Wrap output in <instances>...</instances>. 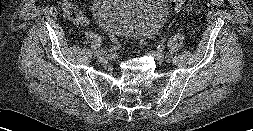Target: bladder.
Wrapping results in <instances>:
<instances>
[{
    "label": "bladder",
    "instance_id": "obj_1",
    "mask_svg": "<svg viewBox=\"0 0 253 131\" xmlns=\"http://www.w3.org/2000/svg\"><path fill=\"white\" fill-rule=\"evenodd\" d=\"M92 12L99 25L127 39L159 31L168 8L163 0H94Z\"/></svg>",
    "mask_w": 253,
    "mask_h": 131
}]
</instances>
